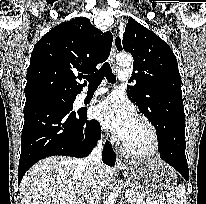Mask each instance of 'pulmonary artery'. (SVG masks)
Returning <instances> with one entry per match:
<instances>
[{
	"label": "pulmonary artery",
	"mask_w": 206,
	"mask_h": 204,
	"mask_svg": "<svg viewBox=\"0 0 206 204\" xmlns=\"http://www.w3.org/2000/svg\"><path fill=\"white\" fill-rule=\"evenodd\" d=\"M129 71L128 70H122L119 72V78L122 81H125L129 78ZM107 91L106 88H99L95 91L94 95H101L104 94ZM86 96V95H85Z\"/></svg>",
	"instance_id": "1"
}]
</instances>
